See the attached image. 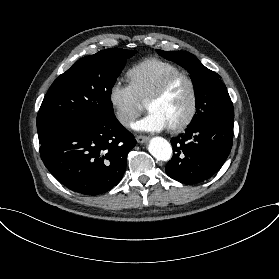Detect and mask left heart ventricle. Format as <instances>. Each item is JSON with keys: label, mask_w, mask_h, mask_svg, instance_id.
Wrapping results in <instances>:
<instances>
[{"label": "left heart ventricle", "mask_w": 279, "mask_h": 279, "mask_svg": "<svg viewBox=\"0 0 279 279\" xmlns=\"http://www.w3.org/2000/svg\"><path fill=\"white\" fill-rule=\"evenodd\" d=\"M192 91L189 83L182 79L159 100L149 105V111L156 112L168 124H178L188 114L191 105Z\"/></svg>", "instance_id": "left-heart-ventricle-1"}]
</instances>
